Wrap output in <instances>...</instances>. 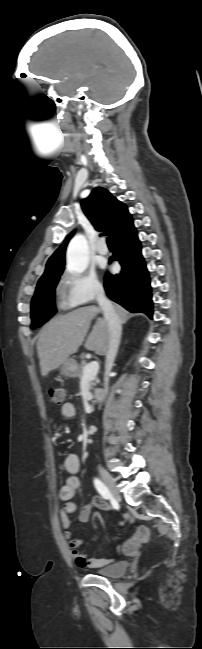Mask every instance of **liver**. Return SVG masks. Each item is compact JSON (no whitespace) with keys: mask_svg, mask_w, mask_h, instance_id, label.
<instances>
[{"mask_svg":"<svg viewBox=\"0 0 202 649\" xmlns=\"http://www.w3.org/2000/svg\"><path fill=\"white\" fill-rule=\"evenodd\" d=\"M121 322H125L128 312L119 305L114 306ZM102 310L95 306L83 307L67 314H59L51 319L40 331L37 352L42 376L76 353L82 345L94 317ZM109 344V326L105 316L98 318L85 343L87 350L97 355H106Z\"/></svg>","mask_w":202,"mask_h":649,"instance_id":"1","label":"liver"}]
</instances>
